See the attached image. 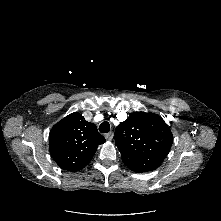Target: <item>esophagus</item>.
Instances as JSON below:
<instances>
[{
	"label": "esophagus",
	"instance_id": "1",
	"mask_svg": "<svg viewBox=\"0 0 221 221\" xmlns=\"http://www.w3.org/2000/svg\"><path fill=\"white\" fill-rule=\"evenodd\" d=\"M113 137H114V133L113 132H109V133L105 134V138L108 141H111L113 139Z\"/></svg>",
	"mask_w": 221,
	"mask_h": 221
}]
</instances>
